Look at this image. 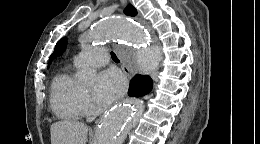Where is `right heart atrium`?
<instances>
[{
	"label": "right heart atrium",
	"mask_w": 260,
	"mask_h": 144,
	"mask_svg": "<svg viewBox=\"0 0 260 144\" xmlns=\"http://www.w3.org/2000/svg\"><path fill=\"white\" fill-rule=\"evenodd\" d=\"M84 104H85L86 107L90 106V101H89V99L87 97L84 98Z\"/></svg>",
	"instance_id": "1"
}]
</instances>
